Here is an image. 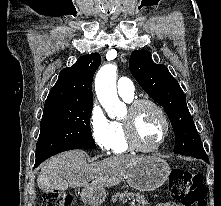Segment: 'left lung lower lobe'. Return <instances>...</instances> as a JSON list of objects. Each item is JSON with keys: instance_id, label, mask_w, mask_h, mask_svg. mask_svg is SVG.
<instances>
[{"instance_id": "1", "label": "left lung lower lobe", "mask_w": 221, "mask_h": 206, "mask_svg": "<svg viewBox=\"0 0 221 206\" xmlns=\"http://www.w3.org/2000/svg\"><path fill=\"white\" fill-rule=\"evenodd\" d=\"M193 157H195V156H193ZM196 158L202 159V160L206 161L207 163H209L207 155L206 156L196 157Z\"/></svg>"}]
</instances>
